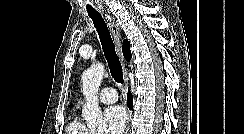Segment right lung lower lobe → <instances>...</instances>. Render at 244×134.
<instances>
[{
  "instance_id": "obj_1",
  "label": "right lung lower lobe",
  "mask_w": 244,
  "mask_h": 134,
  "mask_svg": "<svg viewBox=\"0 0 244 134\" xmlns=\"http://www.w3.org/2000/svg\"><path fill=\"white\" fill-rule=\"evenodd\" d=\"M127 104H128L129 109H132V94L130 92H128V95H127Z\"/></svg>"
}]
</instances>
